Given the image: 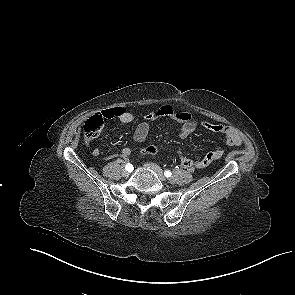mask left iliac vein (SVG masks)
Here are the masks:
<instances>
[{
	"label": "left iliac vein",
	"instance_id": "left-iliac-vein-1",
	"mask_svg": "<svg viewBox=\"0 0 295 295\" xmlns=\"http://www.w3.org/2000/svg\"><path fill=\"white\" fill-rule=\"evenodd\" d=\"M145 166L147 168L151 169L152 171H154L161 181H163V182L166 181V178H165V176L163 174V171L159 166H157L154 163H146Z\"/></svg>",
	"mask_w": 295,
	"mask_h": 295
}]
</instances>
